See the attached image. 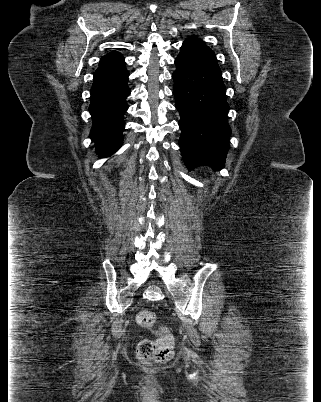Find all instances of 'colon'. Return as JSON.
I'll return each mask as SVG.
<instances>
[{
  "label": "colon",
  "instance_id": "5ec220e1",
  "mask_svg": "<svg viewBox=\"0 0 321 402\" xmlns=\"http://www.w3.org/2000/svg\"><path fill=\"white\" fill-rule=\"evenodd\" d=\"M137 324L144 329L153 330L157 324V316L153 311L141 310L136 315ZM174 338L170 332L162 328L156 340L144 339L136 349L137 358L145 364L162 363L173 356Z\"/></svg>",
  "mask_w": 321,
  "mask_h": 402
}]
</instances>
